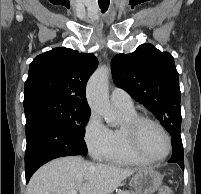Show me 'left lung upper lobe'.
Wrapping results in <instances>:
<instances>
[{"label": "left lung upper lobe", "mask_w": 201, "mask_h": 194, "mask_svg": "<svg viewBox=\"0 0 201 194\" xmlns=\"http://www.w3.org/2000/svg\"><path fill=\"white\" fill-rule=\"evenodd\" d=\"M114 83L151 111L171 134L181 130V93L174 59L151 44H142L111 61Z\"/></svg>", "instance_id": "1"}]
</instances>
